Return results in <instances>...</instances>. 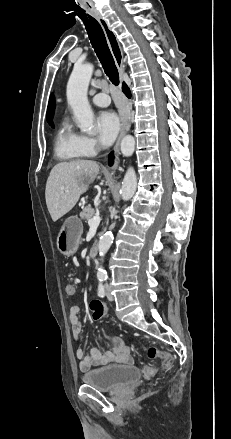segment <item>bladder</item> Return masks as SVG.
I'll use <instances>...</instances> for the list:
<instances>
[{"label":"bladder","instance_id":"bladder-1","mask_svg":"<svg viewBox=\"0 0 231 439\" xmlns=\"http://www.w3.org/2000/svg\"><path fill=\"white\" fill-rule=\"evenodd\" d=\"M139 370L131 365H113L83 374L82 381L105 391H115L139 378Z\"/></svg>","mask_w":231,"mask_h":439}]
</instances>
